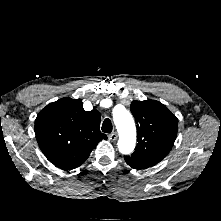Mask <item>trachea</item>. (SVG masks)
Masks as SVG:
<instances>
[{
  "label": "trachea",
  "mask_w": 221,
  "mask_h": 221,
  "mask_svg": "<svg viewBox=\"0 0 221 221\" xmlns=\"http://www.w3.org/2000/svg\"><path fill=\"white\" fill-rule=\"evenodd\" d=\"M112 123L111 120L106 118L102 124V131L105 133H110L112 131Z\"/></svg>",
  "instance_id": "1"
}]
</instances>
